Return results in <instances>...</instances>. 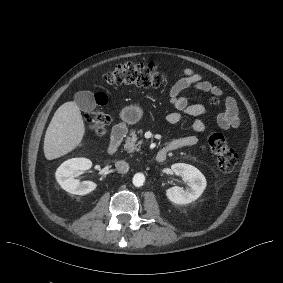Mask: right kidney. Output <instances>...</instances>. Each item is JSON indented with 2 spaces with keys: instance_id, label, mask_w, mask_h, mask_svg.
Listing matches in <instances>:
<instances>
[{
  "instance_id": "right-kidney-1",
  "label": "right kidney",
  "mask_w": 283,
  "mask_h": 283,
  "mask_svg": "<svg viewBox=\"0 0 283 283\" xmlns=\"http://www.w3.org/2000/svg\"><path fill=\"white\" fill-rule=\"evenodd\" d=\"M91 166L92 162L87 158L69 159L57 169L56 180L65 191L76 195H86L97 187L96 183L92 181L81 182L75 176L77 173L90 169Z\"/></svg>"
}]
</instances>
